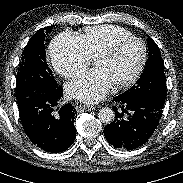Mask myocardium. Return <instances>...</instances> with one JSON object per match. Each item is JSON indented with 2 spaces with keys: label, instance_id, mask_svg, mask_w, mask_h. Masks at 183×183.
Returning <instances> with one entry per match:
<instances>
[{
  "label": "myocardium",
  "instance_id": "obj_1",
  "mask_svg": "<svg viewBox=\"0 0 183 183\" xmlns=\"http://www.w3.org/2000/svg\"><path fill=\"white\" fill-rule=\"evenodd\" d=\"M128 41H136L141 45L142 56H141V59H140V62L138 64L137 68L135 69V71L132 73V75L130 77H128L127 79H125L123 81L113 84V87L115 89L126 88V87L132 85L133 83H135L137 81V79L140 77V75L145 67L146 61H147V46H146L145 42L141 38L133 36V35L127 36V37H122V38L114 41L112 44H110L108 47H106L102 51H100L93 58V61L96 62L99 59L110 57L118 50V48L121 45H123L124 43H126Z\"/></svg>",
  "mask_w": 183,
  "mask_h": 183
}]
</instances>
